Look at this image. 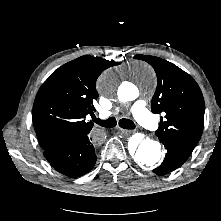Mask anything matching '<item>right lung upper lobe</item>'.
<instances>
[{"mask_svg": "<svg viewBox=\"0 0 221 221\" xmlns=\"http://www.w3.org/2000/svg\"><path fill=\"white\" fill-rule=\"evenodd\" d=\"M118 64L84 55L58 68L42 84L33 105V125L44 151L89 134L93 123L86 115L95 111L96 80Z\"/></svg>", "mask_w": 221, "mask_h": 221, "instance_id": "right-lung-upper-lobe-1", "label": "right lung upper lobe"}]
</instances>
